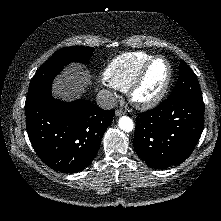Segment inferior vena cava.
I'll use <instances>...</instances> for the list:
<instances>
[{
	"instance_id": "1",
	"label": "inferior vena cava",
	"mask_w": 221,
	"mask_h": 221,
	"mask_svg": "<svg viewBox=\"0 0 221 221\" xmlns=\"http://www.w3.org/2000/svg\"><path fill=\"white\" fill-rule=\"evenodd\" d=\"M96 101L98 106L105 110L113 109L117 104L116 97L107 89H103L98 92Z\"/></svg>"
}]
</instances>
